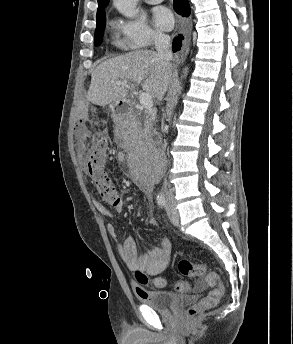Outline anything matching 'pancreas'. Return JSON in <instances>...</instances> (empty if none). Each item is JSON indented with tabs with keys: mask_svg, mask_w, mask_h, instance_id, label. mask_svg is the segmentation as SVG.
Returning <instances> with one entry per match:
<instances>
[{
	"mask_svg": "<svg viewBox=\"0 0 293 344\" xmlns=\"http://www.w3.org/2000/svg\"><path fill=\"white\" fill-rule=\"evenodd\" d=\"M139 115V114H137ZM153 126V117L152 115H147L144 119L143 125L140 121L134 120L131 122L129 131L134 135L138 133H148Z\"/></svg>",
	"mask_w": 293,
	"mask_h": 344,
	"instance_id": "1",
	"label": "pancreas"
}]
</instances>
